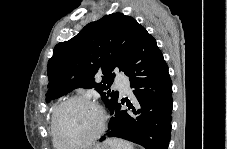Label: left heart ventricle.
Returning a JSON list of instances; mask_svg holds the SVG:
<instances>
[{"label": "left heart ventricle", "instance_id": "b2bd125f", "mask_svg": "<svg viewBox=\"0 0 227 149\" xmlns=\"http://www.w3.org/2000/svg\"><path fill=\"white\" fill-rule=\"evenodd\" d=\"M99 121V113L91 104L71 103L62 110L58 119L60 137L65 142L84 140L96 130Z\"/></svg>", "mask_w": 227, "mask_h": 149}]
</instances>
